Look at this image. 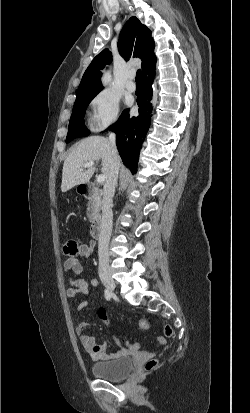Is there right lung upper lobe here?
<instances>
[{
    "mask_svg": "<svg viewBox=\"0 0 250 413\" xmlns=\"http://www.w3.org/2000/svg\"><path fill=\"white\" fill-rule=\"evenodd\" d=\"M155 43L151 37V31L136 18L131 17L124 25L118 41V50L121 56L129 59L139 57L142 60V75L154 70L156 57L154 54ZM112 60L108 49L99 53L86 69L76 95L99 92L103 89L101 84V72L105 65Z\"/></svg>",
    "mask_w": 250,
    "mask_h": 413,
    "instance_id": "obj_1",
    "label": "right lung upper lobe"
}]
</instances>
